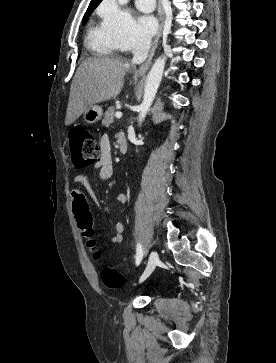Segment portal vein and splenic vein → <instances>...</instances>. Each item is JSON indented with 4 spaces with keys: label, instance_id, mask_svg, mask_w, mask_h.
<instances>
[{
    "label": "portal vein and splenic vein",
    "instance_id": "18ae733b",
    "mask_svg": "<svg viewBox=\"0 0 276 363\" xmlns=\"http://www.w3.org/2000/svg\"><path fill=\"white\" fill-rule=\"evenodd\" d=\"M115 117L118 118V119L121 118L122 117V113L121 112H116L115 113Z\"/></svg>",
    "mask_w": 276,
    "mask_h": 363
}]
</instances>
